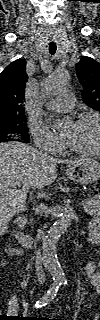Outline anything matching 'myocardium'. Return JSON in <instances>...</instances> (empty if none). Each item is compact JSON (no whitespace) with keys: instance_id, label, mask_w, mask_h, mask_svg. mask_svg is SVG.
Wrapping results in <instances>:
<instances>
[{"instance_id":"obj_1","label":"myocardium","mask_w":100,"mask_h":320,"mask_svg":"<svg viewBox=\"0 0 100 320\" xmlns=\"http://www.w3.org/2000/svg\"><path fill=\"white\" fill-rule=\"evenodd\" d=\"M87 120H95L98 123L99 126V140H98V145L95 149H91V150H87V149H82L80 147H78L77 145H75L73 142H71L68 139H65V144L67 145V147L69 149H71L74 152L80 153V154H84V155H96L100 152V117L99 115L95 114V113H85L82 114L81 116H79L76 120H75V124H80L84 121Z\"/></svg>"}]
</instances>
